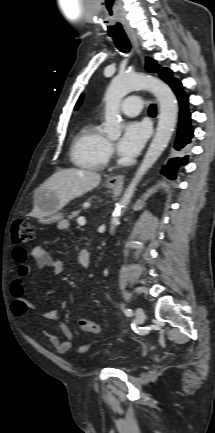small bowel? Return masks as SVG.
Instances as JSON below:
<instances>
[{
    "label": "small bowel",
    "mask_w": 215,
    "mask_h": 433,
    "mask_svg": "<svg viewBox=\"0 0 215 433\" xmlns=\"http://www.w3.org/2000/svg\"><path fill=\"white\" fill-rule=\"evenodd\" d=\"M64 228L68 224L63 225ZM32 257L36 260L37 264L42 267H50L54 275H60L64 271V264L62 261L54 260L46 248L42 245L35 246L31 251ZM13 257L18 263V268L10 283V293L14 298L13 312L15 315L27 318L30 311L34 309V305L25 298V285L26 279L30 272V266L26 263L27 252L23 248H15ZM40 317L46 320L57 321L60 331L65 337V340H60L59 337L53 333H46L51 346L58 352H68L74 343V334L63 322L59 321L58 313L56 311H48L40 313ZM90 347L89 343L82 344L78 347V351L83 353Z\"/></svg>",
    "instance_id": "1"
}]
</instances>
